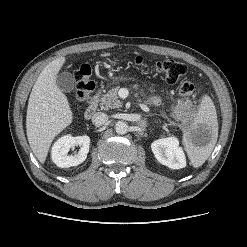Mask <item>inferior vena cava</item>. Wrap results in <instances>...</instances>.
Masks as SVG:
<instances>
[{
  "instance_id": "inferior-vena-cava-1",
  "label": "inferior vena cava",
  "mask_w": 247,
  "mask_h": 247,
  "mask_svg": "<svg viewBox=\"0 0 247 247\" xmlns=\"http://www.w3.org/2000/svg\"><path fill=\"white\" fill-rule=\"evenodd\" d=\"M108 121V115L103 112H98L92 117V123L95 126H102Z\"/></svg>"
}]
</instances>
